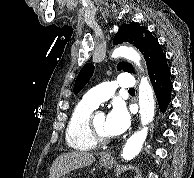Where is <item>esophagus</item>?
<instances>
[{
    "mask_svg": "<svg viewBox=\"0 0 194 178\" xmlns=\"http://www.w3.org/2000/svg\"><path fill=\"white\" fill-rule=\"evenodd\" d=\"M113 156V152H108L102 155V158L110 159Z\"/></svg>",
    "mask_w": 194,
    "mask_h": 178,
    "instance_id": "34e87169",
    "label": "esophagus"
}]
</instances>
